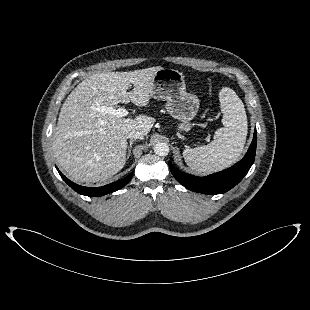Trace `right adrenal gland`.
Masks as SVG:
<instances>
[{
  "mask_svg": "<svg viewBox=\"0 0 310 310\" xmlns=\"http://www.w3.org/2000/svg\"><path fill=\"white\" fill-rule=\"evenodd\" d=\"M134 141L135 140H130V143H129V146H128V152H127V159H129V157H130L131 148H132V145H133Z\"/></svg>",
  "mask_w": 310,
  "mask_h": 310,
  "instance_id": "obj_1",
  "label": "right adrenal gland"
}]
</instances>
